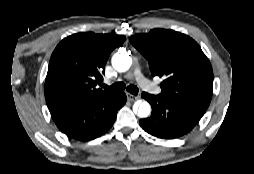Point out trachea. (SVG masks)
Listing matches in <instances>:
<instances>
[{"instance_id": "obj_1", "label": "trachea", "mask_w": 254, "mask_h": 174, "mask_svg": "<svg viewBox=\"0 0 254 174\" xmlns=\"http://www.w3.org/2000/svg\"><path fill=\"white\" fill-rule=\"evenodd\" d=\"M103 87L111 92H119V91H123V90H127L128 92H130L133 95H137L138 94V88L135 85H129L126 87V85L123 82H117L114 83L111 86H107V85H103Z\"/></svg>"}]
</instances>
